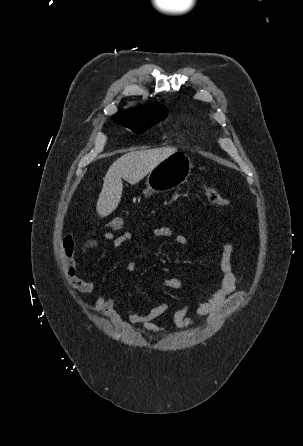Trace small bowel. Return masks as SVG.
Here are the masks:
<instances>
[{
    "mask_svg": "<svg viewBox=\"0 0 303 446\" xmlns=\"http://www.w3.org/2000/svg\"><path fill=\"white\" fill-rule=\"evenodd\" d=\"M143 233L126 231L119 236H115L111 232H106L103 238L110 241L114 248H119L122 244L133 238L143 236ZM146 235L157 239H170L179 246L186 245L188 238L183 234L176 233L172 228L161 226L154 228ZM208 244L214 245L212 240H207ZM99 240L95 237L89 238L82 247L84 254L96 249ZM75 239L69 233L61 242V251L63 255V263L65 275L70 285L76 290L84 294H90L94 290V283L91 280H84L77 274V261L75 259ZM220 276L219 288L212 297L204 303H201L193 316L189 315L191 302H186L182 307L177 309L173 314V321L177 327L185 328L193 325L197 320L204 319L207 324H212L222 316L228 314L244 297V292L237 290L239 283L238 277L232 269V253L233 246L230 243H224L220 249ZM125 267L128 271H134L136 263L133 259L127 260ZM160 288L184 290L186 289L184 281L178 277L164 278L158 283ZM90 308L96 313L108 319L113 325L121 328H127L130 325L140 324L146 331L152 333H164L165 329L158 326L154 321L162 316L169 308L168 302H163L153 307L146 314H138L133 310H128L126 318H123L115 309V301L112 296L102 294Z\"/></svg>",
    "mask_w": 303,
    "mask_h": 446,
    "instance_id": "small-bowel-1",
    "label": "small bowel"
}]
</instances>
